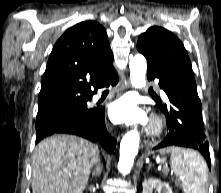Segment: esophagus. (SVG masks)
Masks as SVG:
<instances>
[{"instance_id": "esophagus-1", "label": "esophagus", "mask_w": 221, "mask_h": 193, "mask_svg": "<svg viewBox=\"0 0 221 193\" xmlns=\"http://www.w3.org/2000/svg\"><path fill=\"white\" fill-rule=\"evenodd\" d=\"M129 87H130L129 81L125 80L124 85H123V89H128Z\"/></svg>"}]
</instances>
